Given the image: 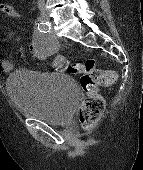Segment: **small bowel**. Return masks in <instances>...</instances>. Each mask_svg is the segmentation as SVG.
Wrapping results in <instances>:
<instances>
[{"instance_id":"1","label":"small bowel","mask_w":143,"mask_h":170,"mask_svg":"<svg viewBox=\"0 0 143 170\" xmlns=\"http://www.w3.org/2000/svg\"><path fill=\"white\" fill-rule=\"evenodd\" d=\"M1 15H5L8 18L14 19V20H20L22 18V14L19 11H17L11 6L2 5V4L0 5V16ZM29 49L36 57L41 58V59L47 58L49 55L48 51L40 49L35 43H31L29 45ZM53 67L58 69L57 58L53 62ZM11 69H12V64L9 61L0 60V74L7 73L11 71Z\"/></svg>"}]
</instances>
